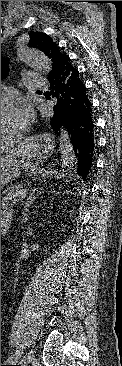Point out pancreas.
Returning <instances> with one entry per match:
<instances>
[{
  "mask_svg": "<svg viewBox=\"0 0 122 366\" xmlns=\"http://www.w3.org/2000/svg\"><path fill=\"white\" fill-rule=\"evenodd\" d=\"M24 194H25V189L23 188V186L21 184L11 185L2 192V196H1L2 202L9 204L10 201H12V202L20 201L21 197Z\"/></svg>",
  "mask_w": 122,
  "mask_h": 366,
  "instance_id": "obj_1",
  "label": "pancreas"
}]
</instances>
